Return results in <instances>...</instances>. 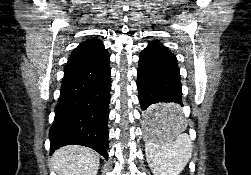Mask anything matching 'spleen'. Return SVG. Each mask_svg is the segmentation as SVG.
<instances>
[{"label":"spleen","mask_w":251,"mask_h":175,"mask_svg":"<svg viewBox=\"0 0 251 175\" xmlns=\"http://www.w3.org/2000/svg\"><path fill=\"white\" fill-rule=\"evenodd\" d=\"M146 157L154 175H178L192 155V141L176 107L148 111Z\"/></svg>","instance_id":"spleen-1"}]
</instances>
